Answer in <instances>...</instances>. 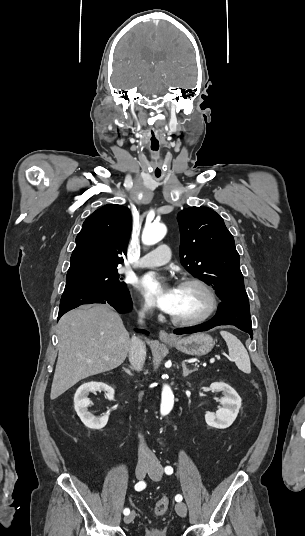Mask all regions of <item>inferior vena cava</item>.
I'll return each instance as SVG.
<instances>
[{"mask_svg": "<svg viewBox=\"0 0 305 536\" xmlns=\"http://www.w3.org/2000/svg\"><path fill=\"white\" fill-rule=\"evenodd\" d=\"M148 310H150L149 306H144L143 310L139 312L140 324H143V318H145V314L148 312ZM145 358L146 348L144 342L139 340V338H132L129 352V362L132 364L133 370L140 372L141 368L144 366ZM139 438H141V444H139L138 448V458L141 460V462H149V460H152L153 454L150 452L149 448H147L146 444H144L142 436H139Z\"/></svg>", "mask_w": 305, "mask_h": 536, "instance_id": "602c4592", "label": "inferior vena cava"}]
</instances>
